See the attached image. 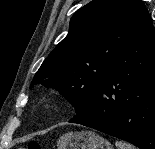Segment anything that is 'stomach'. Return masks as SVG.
<instances>
[{"label":"stomach","instance_id":"obj_1","mask_svg":"<svg viewBox=\"0 0 155 149\" xmlns=\"http://www.w3.org/2000/svg\"><path fill=\"white\" fill-rule=\"evenodd\" d=\"M57 149H113L112 145L93 131L68 132L60 137Z\"/></svg>","mask_w":155,"mask_h":149}]
</instances>
